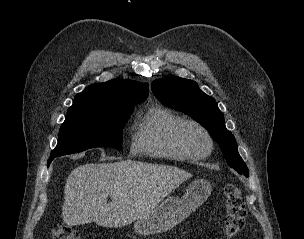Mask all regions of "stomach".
<instances>
[{
	"label": "stomach",
	"instance_id": "stomach-1",
	"mask_svg": "<svg viewBox=\"0 0 304 239\" xmlns=\"http://www.w3.org/2000/svg\"><path fill=\"white\" fill-rule=\"evenodd\" d=\"M211 191V184L207 180H194L183 197L170 196L150 213L136 220L135 233L148 236L170 230L204 203Z\"/></svg>",
	"mask_w": 304,
	"mask_h": 239
}]
</instances>
